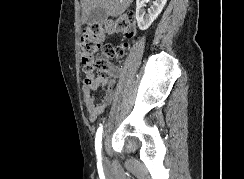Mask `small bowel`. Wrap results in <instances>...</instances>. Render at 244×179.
<instances>
[{"instance_id":"obj_1","label":"small bowel","mask_w":244,"mask_h":179,"mask_svg":"<svg viewBox=\"0 0 244 179\" xmlns=\"http://www.w3.org/2000/svg\"><path fill=\"white\" fill-rule=\"evenodd\" d=\"M118 73L119 70L116 67L111 68L109 71V75L111 77L117 76ZM97 90L98 89H92L91 86L83 89V102L89 113L91 121H95L104 112L105 108L112 102L114 98L113 90L110 86H108L101 100L97 101L95 98V92Z\"/></svg>"}]
</instances>
